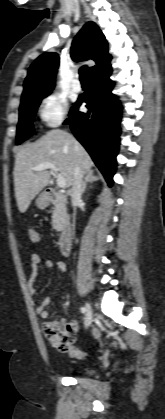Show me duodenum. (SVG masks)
Instances as JSON below:
<instances>
[{
  "label": "duodenum",
  "mask_w": 165,
  "mask_h": 419,
  "mask_svg": "<svg viewBox=\"0 0 165 419\" xmlns=\"http://www.w3.org/2000/svg\"><path fill=\"white\" fill-rule=\"evenodd\" d=\"M44 200L48 205H59L65 209L69 205V201L59 191L48 189L44 195ZM72 239V228L67 220H64L60 231L59 250L62 255H67L70 249Z\"/></svg>",
  "instance_id": "obj_1"
}]
</instances>
